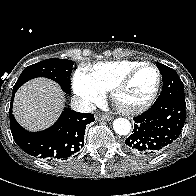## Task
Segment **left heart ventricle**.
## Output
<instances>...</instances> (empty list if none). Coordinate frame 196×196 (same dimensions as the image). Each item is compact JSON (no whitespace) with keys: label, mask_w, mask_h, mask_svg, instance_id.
<instances>
[{"label":"left heart ventricle","mask_w":196,"mask_h":196,"mask_svg":"<svg viewBox=\"0 0 196 196\" xmlns=\"http://www.w3.org/2000/svg\"><path fill=\"white\" fill-rule=\"evenodd\" d=\"M157 82V73L152 68L138 72L119 96L123 106H133L144 102L152 93Z\"/></svg>","instance_id":"obj_1"}]
</instances>
